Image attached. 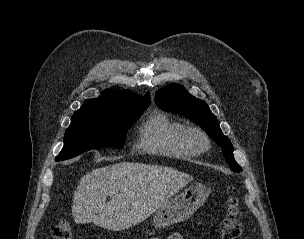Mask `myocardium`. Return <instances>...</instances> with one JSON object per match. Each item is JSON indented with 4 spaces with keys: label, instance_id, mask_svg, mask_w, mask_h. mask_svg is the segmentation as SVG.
Wrapping results in <instances>:
<instances>
[{
    "label": "myocardium",
    "instance_id": "myocardium-1",
    "mask_svg": "<svg viewBox=\"0 0 304 239\" xmlns=\"http://www.w3.org/2000/svg\"><path fill=\"white\" fill-rule=\"evenodd\" d=\"M180 140L183 146L194 155L205 153L210 148L209 136L199 127H185L180 134Z\"/></svg>",
    "mask_w": 304,
    "mask_h": 239
}]
</instances>
